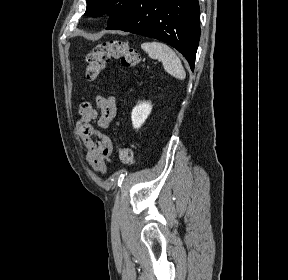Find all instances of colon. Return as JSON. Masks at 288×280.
I'll return each mask as SVG.
<instances>
[{"label": "colon", "mask_w": 288, "mask_h": 280, "mask_svg": "<svg viewBox=\"0 0 288 280\" xmlns=\"http://www.w3.org/2000/svg\"><path fill=\"white\" fill-rule=\"evenodd\" d=\"M120 59L124 66L135 67L141 64L139 52L124 40H108L96 46L86 57L85 76L88 81L99 77L111 59ZM119 159L125 165H133V152L120 145L116 146Z\"/></svg>", "instance_id": "5ec220e1"}]
</instances>
